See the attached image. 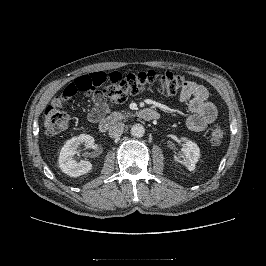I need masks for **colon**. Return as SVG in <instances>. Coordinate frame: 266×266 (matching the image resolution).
<instances>
[{"label":"colon","mask_w":266,"mask_h":266,"mask_svg":"<svg viewBox=\"0 0 266 266\" xmlns=\"http://www.w3.org/2000/svg\"><path fill=\"white\" fill-rule=\"evenodd\" d=\"M181 74L153 70L122 75L117 71L98 72L80 76L68 84L62 94L57 96L44 112L45 132L55 136L64 132L69 125V116L60 107L78 92H89L103 87L104 97L112 103H122L130 96L144 90L156 89L164 95L176 94L184 84ZM226 136L225 128L213 124L209 129V141L213 146L223 143Z\"/></svg>","instance_id":"obj_1"}]
</instances>
